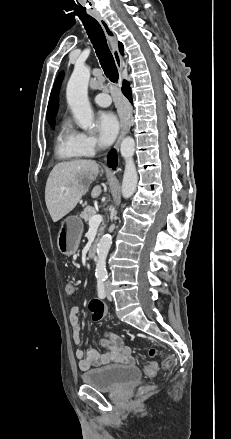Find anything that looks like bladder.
Instances as JSON below:
<instances>
[{"mask_svg": "<svg viewBox=\"0 0 231 439\" xmlns=\"http://www.w3.org/2000/svg\"><path fill=\"white\" fill-rule=\"evenodd\" d=\"M140 371L132 365H112L82 373L84 384L104 391H115L136 381Z\"/></svg>", "mask_w": 231, "mask_h": 439, "instance_id": "1", "label": "bladder"}]
</instances>
